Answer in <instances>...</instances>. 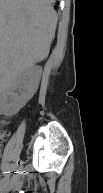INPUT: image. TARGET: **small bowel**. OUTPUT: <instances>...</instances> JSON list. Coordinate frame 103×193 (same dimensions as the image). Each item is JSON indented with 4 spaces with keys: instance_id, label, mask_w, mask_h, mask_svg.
<instances>
[{
    "instance_id": "c3829d8e",
    "label": "small bowel",
    "mask_w": 103,
    "mask_h": 193,
    "mask_svg": "<svg viewBox=\"0 0 103 193\" xmlns=\"http://www.w3.org/2000/svg\"><path fill=\"white\" fill-rule=\"evenodd\" d=\"M4 123H6V121H3ZM9 133L8 132H5L4 134H3V137H5V136H7ZM9 179V175H6V177L4 178V179H2V182H1V189H2V186H3V190L4 191H9L10 189H11V187H9V188H7V186L9 185V181H10V179ZM8 180V181H7ZM7 188V189H6Z\"/></svg>"
}]
</instances>
